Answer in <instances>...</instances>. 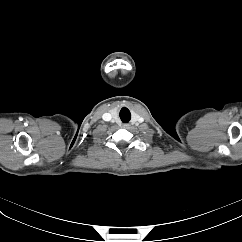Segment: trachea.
Returning a JSON list of instances; mask_svg holds the SVG:
<instances>
[{"label":"trachea","instance_id":"3493384b","mask_svg":"<svg viewBox=\"0 0 242 242\" xmlns=\"http://www.w3.org/2000/svg\"><path fill=\"white\" fill-rule=\"evenodd\" d=\"M123 111V110H122ZM121 111V119H122V121L124 122V123H127L129 120H130V118H129V116L127 117V118H123V112Z\"/></svg>","mask_w":242,"mask_h":242}]
</instances>
